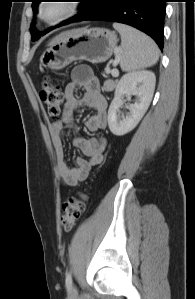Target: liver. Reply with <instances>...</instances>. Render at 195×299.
Here are the masks:
<instances>
[{"instance_id": "6515ba94", "label": "liver", "mask_w": 195, "mask_h": 299, "mask_svg": "<svg viewBox=\"0 0 195 299\" xmlns=\"http://www.w3.org/2000/svg\"><path fill=\"white\" fill-rule=\"evenodd\" d=\"M69 32H64L59 34L58 36L54 37L50 42H49V46L53 45L54 43H56L57 41H59L62 37H64V35H66Z\"/></svg>"}]
</instances>
